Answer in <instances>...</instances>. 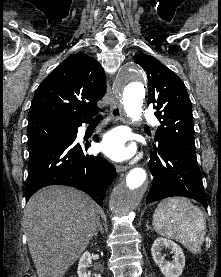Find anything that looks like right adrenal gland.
Segmentation results:
<instances>
[{
	"mask_svg": "<svg viewBox=\"0 0 221 277\" xmlns=\"http://www.w3.org/2000/svg\"><path fill=\"white\" fill-rule=\"evenodd\" d=\"M99 232L104 233V229H103V227H102V223L99 224V228H98L97 232L94 234V236H97V234H98Z\"/></svg>",
	"mask_w": 221,
	"mask_h": 277,
	"instance_id": "2a0ac1e0",
	"label": "right adrenal gland"
}]
</instances>
